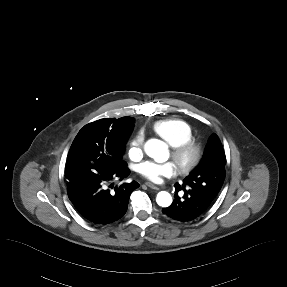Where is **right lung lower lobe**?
<instances>
[{
    "label": "right lung lower lobe",
    "instance_id": "obj_1",
    "mask_svg": "<svg viewBox=\"0 0 287 287\" xmlns=\"http://www.w3.org/2000/svg\"><path fill=\"white\" fill-rule=\"evenodd\" d=\"M129 174L126 165L113 167L90 157L68 160L65 167L68 197L85 220L93 224L112 223L124 216L132 191L140 185L132 181L113 188L110 183Z\"/></svg>",
    "mask_w": 287,
    "mask_h": 287
}]
</instances>
